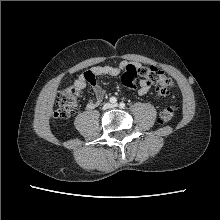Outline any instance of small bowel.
Wrapping results in <instances>:
<instances>
[{
    "label": "small bowel",
    "instance_id": "small-bowel-1",
    "mask_svg": "<svg viewBox=\"0 0 220 220\" xmlns=\"http://www.w3.org/2000/svg\"><path fill=\"white\" fill-rule=\"evenodd\" d=\"M127 64H129V62H122L119 66H96L91 70L85 72L75 81V86L79 87L80 89L85 88L86 85H90L95 94V99L88 101V103L86 104L87 110H92L99 106L103 101L105 95V91L99 85L97 79L101 76L116 77L120 74L121 69L125 67ZM149 90L150 84L144 79L140 80L138 94L145 95L149 92Z\"/></svg>",
    "mask_w": 220,
    "mask_h": 220
}]
</instances>
